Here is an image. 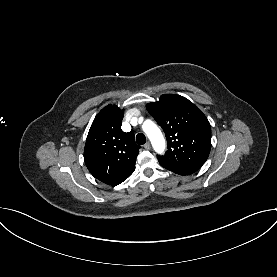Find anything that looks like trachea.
<instances>
[{
	"mask_svg": "<svg viewBox=\"0 0 277 277\" xmlns=\"http://www.w3.org/2000/svg\"><path fill=\"white\" fill-rule=\"evenodd\" d=\"M136 142H137L139 145L145 144V142H146V137H145V135L142 134V133H138L137 136H136Z\"/></svg>",
	"mask_w": 277,
	"mask_h": 277,
	"instance_id": "trachea-1",
	"label": "trachea"
}]
</instances>
